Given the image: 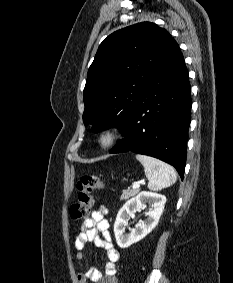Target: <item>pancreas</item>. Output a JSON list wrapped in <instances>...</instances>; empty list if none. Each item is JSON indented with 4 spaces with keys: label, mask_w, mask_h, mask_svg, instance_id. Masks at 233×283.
<instances>
[{
    "label": "pancreas",
    "mask_w": 233,
    "mask_h": 283,
    "mask_svg": "<svg viewBox=\"0 0 233 283\" xmlns=\"http://www.w3.org/2000/svg\"><path fill=\"white\" fill-rule=\"evenodd\" d=\"M139 190L137 189H133V190H124L121 197H120V200H127L131 197H134L136 194H138Z\"/></svg>",
    "instance_id": "pancreas-1"
}]
</instances>
